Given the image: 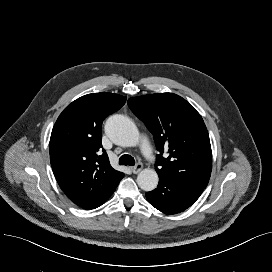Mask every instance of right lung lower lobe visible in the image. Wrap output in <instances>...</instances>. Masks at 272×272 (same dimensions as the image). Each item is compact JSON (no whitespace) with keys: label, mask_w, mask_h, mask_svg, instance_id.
Listing matches in <instances>:
<instances>
[{"label":"right lung lower lobe","mask_w":272,"mask_h":272,"mask_svg":"<svg viewBox=\"0 0 272 272\" xmlns=\"http://www.w3.org/2000/svg\"><path fill=\"white\" fill-rule=\"evenodd\" d=\"M113 193V192H112ZM112 193L104 200V201H102L98 206H100V205H102L111 195H112ZM98 206H96L95 208H97ZM94 209V208H93Z\"/></svg>","instance_id":"right-lung-lower-lobe-1"}]
</instances>
